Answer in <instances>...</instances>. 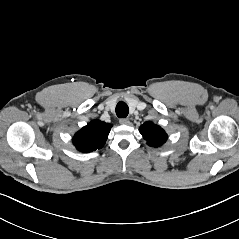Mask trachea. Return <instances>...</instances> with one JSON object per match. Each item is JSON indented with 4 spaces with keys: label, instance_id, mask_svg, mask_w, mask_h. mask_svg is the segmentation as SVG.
Listing matches in <instances>:
<instances>
[{
    "label": "trachea",
    "instance_id": "1",
    "mask_svg": "<svg viewBox=\"0 0 239 239\" xmlns=\"http://www.w3.org/2000/svg\"><path fill=\"white\" fill-rule=\"evenodd\" d=\"M115 110L119 118H125L129 113L128 105L123 101L117 103Z\"/></svg>",
    "mask_w": 239,
    "mask_h": 239
}]
</instances>
